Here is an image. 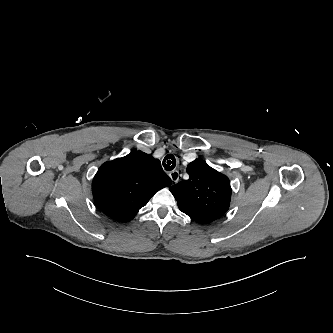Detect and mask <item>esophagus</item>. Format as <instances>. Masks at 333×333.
Masks as SVG:
<instances>
[{
  "label": "esophagus",
  "mask_w": 333,
  "mask_h": 333,
  "mask_svg": "<svg viewBox=\"0 0 333 333\" xmlns=\"http://www.w3.org/2000/svg\"><path fill=\"white\" fill-rule=\"evenodd\" d=\"M173 183H177L180 180L181 174L178 170H174L169 174Z\"/></svg>",
  "instance_id": "obj_1"
}]
</instances>
